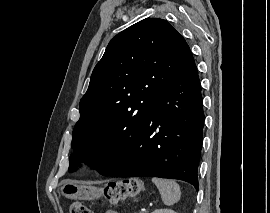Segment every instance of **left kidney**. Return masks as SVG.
Segmentation results:
<instances>
[{
    "instance_id": "left-kidney-1",
    "label": "left kidney",
    "mask_w": 270,
    "mask_h": 213,
    "mask_svg": "<svg viewBox=\"0 0 270 213\" xmlns=\"http://www.w3.org/2000/svg\"><path fill=\"white\" fill-rule=\"evenodd\" d=\"M152 213H177V212L170 209H158L153 211Z\"/></svg>"
}]
</instances>
